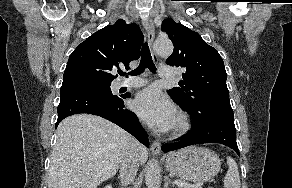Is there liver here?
Segmentation results:
<instances>
[{"mask_svg": "<svg viewBox=\"0 0 292 188\" xmlns=\"http://www.w3.org/2000/svg\"><path fill=\"white\" fill-rule=\"evenodd\" d=\"M133 140L129 133L101 117H67L57 128L48 188H97L116 174ZM147 159V149L141 146L139 162L144 164Z\"/></svg>", "mask_w": 292, "mask_h": 188, "instance_id": "1", "label": "liver"}]
</instances>
